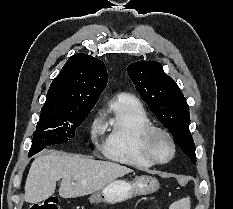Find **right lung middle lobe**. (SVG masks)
Here are the masks:
<instances>
[{
	"instance_id": "dd1d6c3e",
	"label": "right lung middle lobe",
	"mask_w": 233,
	"mask_h": 209,
	"mask_svg": "<svg viewBox=\"0 0 233 209\" xmlns=\"http://www.w3.org/2000/svg\"><path fill=\"white\" fill-rule=\"evenodd\" d=\"M94 106L75 107L63 113L42 114L34 132L29 157L46 146L65 143L75 136L79 127Z\"/></svg>"
}]
</instances>
